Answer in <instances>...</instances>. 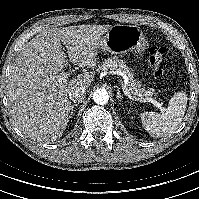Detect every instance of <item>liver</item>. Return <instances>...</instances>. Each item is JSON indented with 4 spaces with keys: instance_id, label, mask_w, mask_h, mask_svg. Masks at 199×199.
<instances>
[{
    "instance_id": "liver-1",
    "label": "liver",
    "mask_w": 199,
    "mask_h": 199,
    "mask_svg": "<svg viewBox=\"0 0 199 199\" xmlns=\"http://www.w3.org/2000/svg\"><path fill=\"white\" fill-rule=\"evenodd\" d=\"M111 25H80L51 28L23 46L11 66L6 86L8 106L17 127L40 141L60 138L67 126L72 87H89L94 73L85 72L58 80L69 60L79 67L97 63V41Z\"/></svg>"
}]
</instances>
